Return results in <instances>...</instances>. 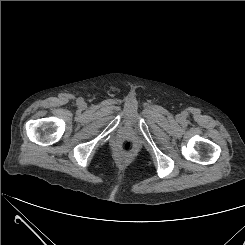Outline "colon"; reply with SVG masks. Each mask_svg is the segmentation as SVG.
<instances>
[{
	"mask_svg": "<svg viewBox=\"0 0 245 245\" xmlns=\"http://www.w3.org/2000/svg\"><path fill=\"white\" fill-rule=\"evenodd\" d=\"M119 151L123 155H131L134 151L132 142H130L129 140H123L119 145Z\"/></svg>",
	"mask_w": 245,
	"mask_h": 245,
	"instance_id": "1",
	"label": "colon"
}]
</instances>
